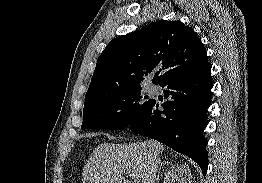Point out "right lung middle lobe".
I'll use <instances>...</instances> for the list:
<instances>
[{
  "instance_id": "obj_1",
  "label": "right lung middle lobe",
  "mask_w": 262,
  "mask_h": 183,
  "mask_svg": "<svg viewBox=\"0 0 262 183\" xmlns=\"http://www.w3.org/2000/svg\"><path fill=\"white\" fill-rule=\"evenodd\" d=\"M146 99L139 87L85 102L81 129H124L150 105Z\"/></svg>"
}]
</instances>
